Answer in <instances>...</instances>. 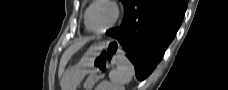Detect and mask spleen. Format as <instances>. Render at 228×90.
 Here are the masks:
<instances>
[{
    "mask_svg": "<svg viewBox=\"0 0 228 90\" xmlns=\"http://www.w3.org/2000/svg\"><path fill=\"white\" fill-rule=\"evenodd\" d=\"M134 74V66L125 56L122 50H119L116 57V68L109 73V79L113 84L123 85L131 81Z\"/></svg>",
    "mask_w": 228,
    "mask_h": 90,
    "instance_id": "1",
    "label": "spleen"
}]
</instances>
